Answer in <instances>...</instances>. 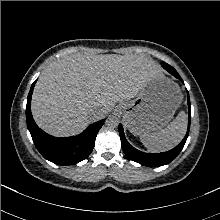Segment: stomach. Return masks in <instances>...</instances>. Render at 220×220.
<instances>
[{
	"instance_id": "stomach-1",
	"label": "stomach",
	"mask_w": 220,
	"mask_h": 220,
	"mask_svg": "<svg viewBox=\"0 0 220 220\" xmlns=\"http://www.w3.org/2000/svg\"><path fill=\"white\" fill-rule=\"evenodd\" d=\"M182 98L178 84L161 73L149 80L135 99L120 103L117 109L130 132L141 136L165 127Z\"/></svg>"
}]
</instances>
